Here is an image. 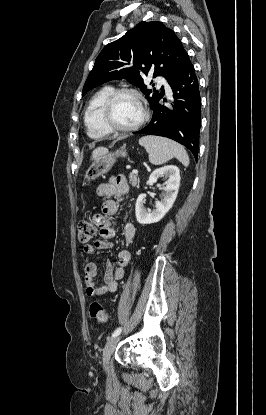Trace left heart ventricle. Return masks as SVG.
Instances as JSON below:
<instances>
[{
    "instance_id": "left-heart-ventricle-1",
    "label": "left heart ventricle",
    "mask_w": 266,
    "mask_h": 415,
    "mask_svg": "<svg viewBox=\"0 0 266 415\" xmlns=\"http://www.w3.org/2000/svg\"><path fill=\"white\" fill-rule=\"evenodd\" d=\"M142 116L138 100L131 94H123L117 98L113 107V119L119 126H132Z\"/></svg>"
}]
</instances>
